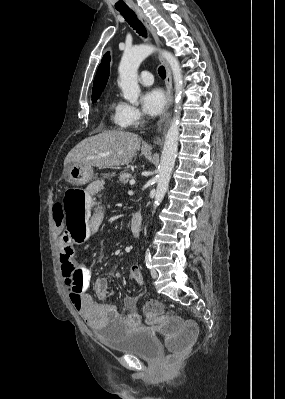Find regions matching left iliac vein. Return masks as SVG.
<instances>
[{"mask_svg": "<svg viewBox=\"0 0 285 399\" xmlns=\"http://www.w3.org/2000/svg\"><path fill=\"white\" fill-rule=\"evenodd\" d=\"M150 274H151V277H152L153 279H157V278H158V272H157L156 269L152 268V269L150 270Z\"/></svg>", "mask_w": 285, "mask_h": 399, "instance_id": "left-iliac-vein-1", "label": "left iliac vein"}]
</instances>
